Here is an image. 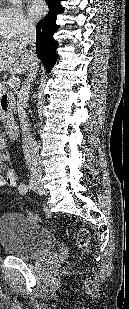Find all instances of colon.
Segmentation results:
<instances>
[{"label": "colon", "instance_id": "colon-1", "mask_svg": "<svg viewBox=\"0 0 129 309\" xmlns=\"http://www.w3.org/2000/svg\"><path fill=\"white\" fill-rule=\"evenodd\" d=\"M29 218H31L34 221H39V217L32 213V212H27L26 213ZM76 240L78 246L83 250L87 251L90 243V235L89 232L86 229H80L77 234H76Z\"/></svg>", "mask_w": 129, "mask_h": 309}]
</instances>
